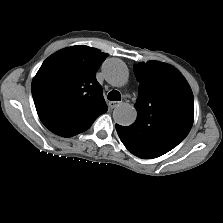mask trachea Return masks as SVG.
Segmentation results:
<instances>
[{"instance_id":"obj_1","label":"trachea","mask_w":223,"mask_h":223,"mask_svg":"<svg viewBox=\"0 0 223 223\" xmlns=\"http://www.w3.org/2000/svg\"><path fill=\"white\" fill-rule=\"evenodd\" d=\"M108 100H111V101H120L121 100V94L117 90H112L108 94Z\"/></svg>"}]
</instances>
